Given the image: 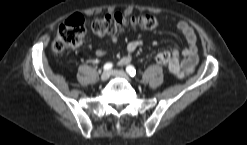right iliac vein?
I'll list each match as a JSON object with an SVG mask.
<instances>
[{"label": "right iliac vein", "mask_w": 247, "mask_h": 145, "mask_svg": "<svg viewBox=\"0 0 247 145\" xmlns=\"http://www.w3.org/2000/svg\"><path fill=\"white\" fill-rule=\"evenodd\" d=\"M111 76V72L108 70H105L102 74H101V81H107Z\"/></svg>", "instance_id": "obj_1"}]
</instances>
